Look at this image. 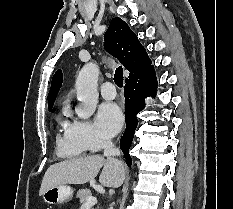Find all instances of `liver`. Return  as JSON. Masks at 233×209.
<instances>
[{
    "label": "liver",
    "instance_id": "1",
    "mask_svg": "<svg viewBox=\"0 0 233 209\" xmlns=\"http://www.w3.org/2000/svg\"><path fill=\"white\" fill-rule=\"evenodd\" d=\"M103 167L99 182L106 187L118 188L125 179V168L116 159H105L99 155L75 158L55 163L46 170L39 195L62 184H84L93 181Z\"/></svg>",
    "mask_w": 233,
    "mask_h": 209
}]
</instances>
